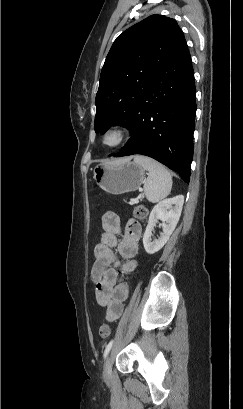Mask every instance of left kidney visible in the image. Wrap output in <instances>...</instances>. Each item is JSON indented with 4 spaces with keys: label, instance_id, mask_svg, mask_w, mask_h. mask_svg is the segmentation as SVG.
<instances>
[{
    "label": "left kidney",
    "instance_id": "1",
    "mask_svg": "<svg viewBox=\"0 0 243 409\" xmlns=\"http://www.w3.org/2000/svg\"><path fill=\"white\" fill-rule=\"evenodd\" d=\"M183 203L184 196L178 195L173 198L165 199L154 206L150 213L148 225L143 235V245L148 254L158 252L169 240V237L173 233L179 221ZM158 220L163 222V232L158 239L152 240V231L154 230Z\"/></svg>",
    "mask_w": 243,
    "mask_h": 409
}]
</instances>
